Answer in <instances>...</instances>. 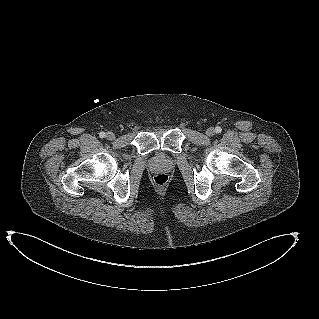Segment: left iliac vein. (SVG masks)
Instances as JSON below:
<instances>
[{
	"mask_svg": "<svg viewBox=\"0 0 319 319\" xmlns=\"http://www.w3.org/2000/svg\"><path fill=\"white\" fill-rule=\"evenodd\" d=\"M214 133H215V129L212 128V127L208 128L207 131H206V134H207L208 136H213Z\"/></svg>",
	"mask_w": 319,
	"mask_h": 319,
	"instance_id": "4c4485c4",
	"label": "left iliac vein"
}]
</instances>
